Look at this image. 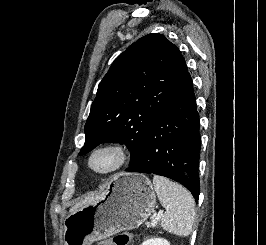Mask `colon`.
I'll return each instance as SVG.
<instances>
[{"instance_id": "colon-1", "label": "colon", "mask_w": 266, "mask_h": 245, "mask_svg": "<svg viewBox=\"0 0 266 245\" xmlns=\"http://www.w3.org/2000/svg\"><path fill=\"white\" fill-rule=\"evenodd\" d=\"M130 232H119L113 238V245H128L130 240ZM104 243L98 242V245H103Z\"/></svg>"}]
</instances>
